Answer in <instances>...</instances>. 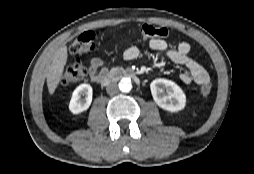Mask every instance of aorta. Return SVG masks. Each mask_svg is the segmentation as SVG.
Returning a JSON list of instances; mask_svg holds the SVG:
<instances>
[{"label": "aorta", "instance_id": "obj_1", "mask_svg": "<svg viewBox=\"0 0 254 174\" xmlns=\"http://www.w3.org/2000/svg\"><path fill=\"white\" fill-rule=\"evenodd\" d=\"M121 92H129L132 88L131 80L129 78H122L118 84Z\"/></svg>", "mask_w": 254, "mask_h": 174}]
</instances>
